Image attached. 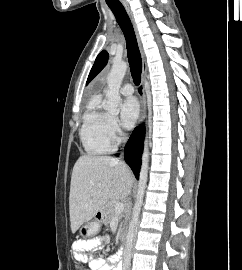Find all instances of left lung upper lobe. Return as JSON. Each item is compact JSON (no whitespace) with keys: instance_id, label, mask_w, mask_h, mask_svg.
Wrapping results in <instances>:
<instances>
[{"instance_id":"left-lung-upper-lobe-1","label":"left lung upper lobe","mask_w":242,"mask_h":270,"mask_svg":"<svg viewBox=\"0 0 242 270\" xmlns=\"http://www.w3.org/2000/svg\"><path fill=\"white\" fill-rule=\"evenodd\" d=\"M107 61H108V53L106 51L100 52L90 71L87 83H89L104 68Z\"/></svg>"}]
</instances>
